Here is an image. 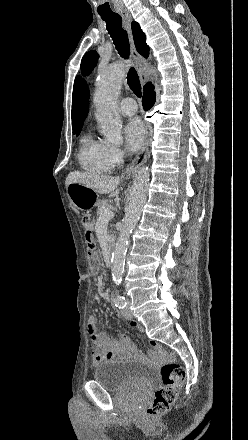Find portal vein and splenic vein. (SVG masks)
Wrapping results in <instances>:
<instances>
[{
    "instance_id": "1",
    "label": "portal vein and splenic vein",
    "mask_w": 248,
    "mask_h": 440,
    "mask_svg": "<svg viewBox=\"0 0 248 440\" xmlns=\"http://www.w3.org/2000/svg\"><path fill=\"white\" fill-rule=\"evenodd\" d=\"M114 213L110 209H103L101 211L99 219L109 221L113 217Z\"/></svg>"
}]
</instances>
